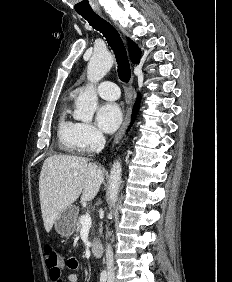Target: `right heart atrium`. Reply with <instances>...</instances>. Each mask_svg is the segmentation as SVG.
<instances>
[{"label":"right heart atrium","instance_id":"right-heart-atrium-1","mask_svg":"<svg viewBox=\"0 0 232 282\" xmlns=\"http://www.w3.org/2000/svg\"><path fill=\"white\" fill-rule=\"evenodd\" d=\"M77 142L82 151H91L102 144L103 135L90 123H78Z\"/></svg>","mask_w":232,"mask_h":282}]
</instances>
